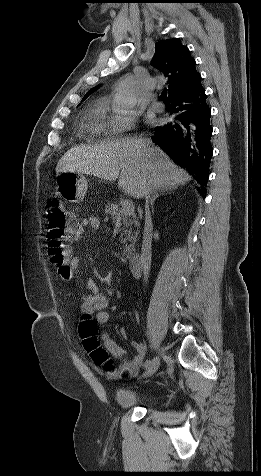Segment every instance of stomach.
<instances>
[{
	"label": "stomach",
	"instance_id": "obj_1",
	"mask_svg": "<svg viewBox=\"0 0 261 476\" xmlns=\"http://www.w3.org/2000/svg\"><path fill=\"white\" fill-rule=\"evenodd\" d=\"M56 183L62 197L70 202L83 200L88 190L87 180L78 172L59 173Z\"/></svg>",
	"mask_w": 261,
	"mask_h": 476
}]
</instances>
